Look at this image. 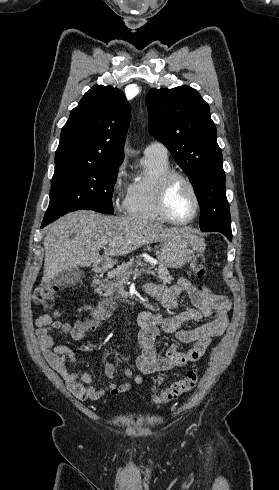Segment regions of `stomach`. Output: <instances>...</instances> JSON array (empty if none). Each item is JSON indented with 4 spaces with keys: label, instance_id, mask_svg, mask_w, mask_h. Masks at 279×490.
Returning a JSON list of instances; mask_svg holds the SVG:
<instances>
[{
    "label": "stomach",
    "instance_id": "0dacf381",
    "mask_svg": "<svg viewBox=\"0 0 279 490\" xmlns=\"http://www.w3.org/2000/svg\"><path fill=\"white\" fill-rule=\"evenodd\" d=\"M156 256L166 268H183L185 264L191 262L194 252L190 250L187 240L178 236V238H171L168 242H162L161 250Z\"/></svg>",
    "mask_w": 279,
    "mask_h": 490
}]
</instances>
